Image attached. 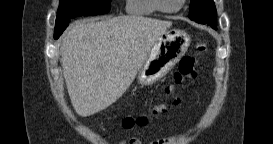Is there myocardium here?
Listing matches in <instances>:
<instances>
[{
	"label": "myocardium",
	"instance_id": "f54148a6",
	"mask_svg": "<svg viewBox=\"0 0 273 144\" xmlns=\"http://www.w3.org/2000/svg\"><path fill=\"white\" fill-rule=\"evenodd\" d=\"M163 0H154V5L157 9V11L163 12V13H174L177 12L180 7L184 4L185 0H180L178 6L176 8L173 9H167L164 7L163 5Z\"/></svg>",
	"mask_w": 273,
	"mask_h": 144
}]
</instances>
